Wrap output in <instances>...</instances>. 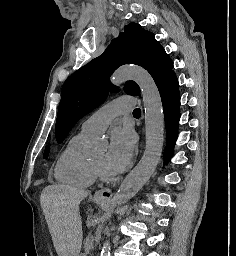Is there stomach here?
<instances>
[{
	"label": "stomach",
	"instance_id": "obj_1",
	"mask_svg": "<svg viewBox=\"0 0 236 256\" xmlns=\"http://www.w3.org/2000/svg\"><path fill=\"white\" fill-rule=\"evenodd\" d=\"M97 204H100L102 203V201H96ZM78 256H83L82 254L81 255H78Z\"/></svg>",
	"mask_w": 236,
	"mask_h": 256
}]
</instances>
